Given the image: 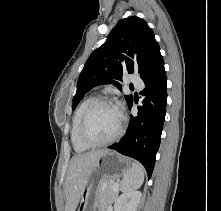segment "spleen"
<instances>
[{"mask_svg":"<svg viewBox=\"0 0 221 211\" xmlns=\"http://www.w3.org/2000/svg\"><path fill=\"white\" fill-rule=\"evenodd\" d=\"M144 182V168L137 162H132V167L124 174L120 190L122 192L134 191Z\"/></svg>","mask_w":221,"mask_h":211,"instance_id":"3e777b00","label":"spleen"}]
</instances>
